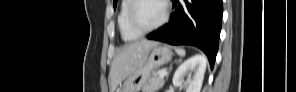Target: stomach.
Here are the masks:
<instances>
[{
  "label": "stomach",
  "instance_id": "1",
  "mask_svg": "<svg viewBox=\"0 0 296 92\" xmlns=\"http://www.w3.org/2000/svg\"><path fill=\"white\" fill-rule=\"evenodd\" d=\"M172 56L173 53L167 46L157 45L153 47L144 64L126 79L119 92H140L152 75L160 67L171 61Z\"/></svg>",
  "mask_w": 296,
  "mask_h": 92
}]
</instances>
